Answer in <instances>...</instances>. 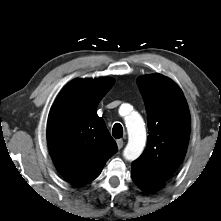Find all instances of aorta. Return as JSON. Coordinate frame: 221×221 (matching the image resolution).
Segmentation results:
<instances>
[{
  "mask_svg": "<svg viewBox=\"0 0 221 221\" xmlns=\"http://www.w3.org/2000/svg\"><path fill=\"white\" fill-rule=\"evenodd\" d=\"M128 131V143L123 151V156L128 161L136 160L144 150L146 143V130L142 117L132 112L125 117Z\"/></svg>",
  "mask_w": 221,
  "mask_h": 221,
  "instance_id": "obj_1",
  "label": "aorta"
}]
</instances>
